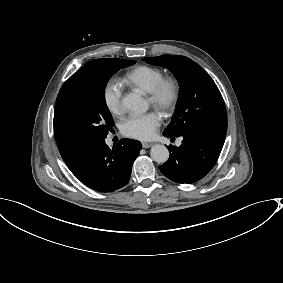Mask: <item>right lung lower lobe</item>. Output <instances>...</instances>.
<instances>
[{
  "label": "right lung lower lobe",
  "mask_w": 283,
  "mask_h": 283,
  "mask_svg": "<svg viewBox=\"0 0 283 283\" xmlns=\"http://www.w3.org/2000/svg\"><path fill=\"white\" fill-rule=\"evenodd\" d=\"M141 148L139 141L122 139L110 149L105 139H101L90 143L65 163L86 186L99 192H112L128 183Z\"/></svg>",
  "instance_id": "1"
}]
</instances>
